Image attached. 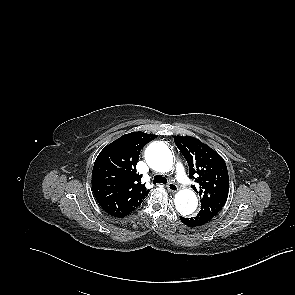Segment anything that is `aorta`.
<instances>
[{
	"label": "aorta",
	"mask_w": 295,
	"mask_h": 295,
	"mask_svg": "<svg viewBox=\"0 0 295 295\" xmlns=\"http://www.w3.org/2000/svg\"><path fill=\"white\" fill-rule=\"evenodd\" d=\"M147 163L156 171L168 172L173 165V155L163 142L151 143L145 153ZM177 211L184 217L192 216L198 207V199L191 189L180 190L174 199Z\"/></svg>",
	"instance_id": "1"
}]
</instances>
